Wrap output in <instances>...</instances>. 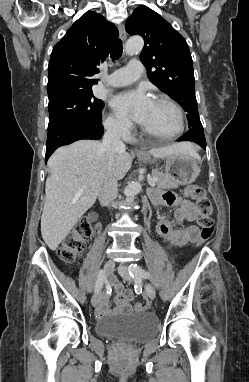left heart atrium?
Segmentation results:
<instances>
[{
  "label": "left heart atrium",
  "mask_w": 249,
  "mask_h": 382,
  "mask_svg": "<svg viewBox=\"0 0 249 382\" xmlns=\"http://www.w3.org/2000/svg\"><path fill=\"white\" fill-rule=\"evenodd\" d=\"M111 104L120 115L142 124L153 105V100L144 89H137L116 95Z\"/></svg>",
  "instance_id": "1"
}]
</instances>
